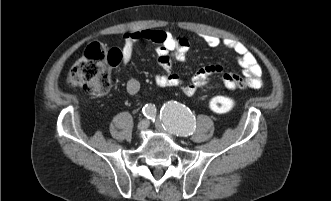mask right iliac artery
<instances>
[{
  "mask_svg": "<svg viewBox=\"0 0 331 201\" xmlns=\"http://www.w3.org/2000/svg\"><path fill=\"white\" fill-rule=\"evenodd\" d=\"M142 110L146 118L154 119L156 117V108L154 105L146 104Z\"/></svg>",
  "mask_w": 331,
  "mask_h": 201,
  "instance_id": "82829eb1",
  "label": "right iliac artery"
}]
</instances>
